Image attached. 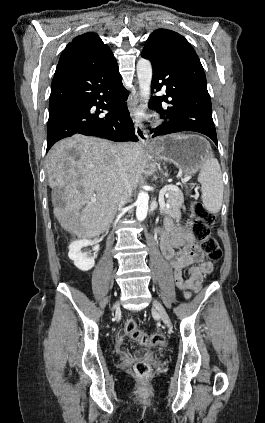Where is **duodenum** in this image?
I'll use <instances>...</instances> for the list:
<instances>
[{"mask_svg":"<svg viewBox=\"0 0 265 423\" xmlns=\"http://www.w3.org/2000/svg\"><path fill=\"white\" fill-rule=\"evenodd\" d=\"M156 234L159 236L160 235V230L156 229Z\"/></svg>","mask_w":265,"mask_h":423,"instance_id":"1","label":"duodenum"}]
</instances>
